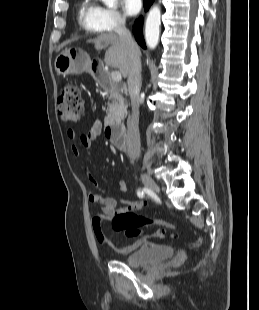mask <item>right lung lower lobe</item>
Listing matches in <instances>:
<instances>
[{"label": "right lung lower lobe", "mask_w": 259, "mask_h": 310, "mask_svg": "<svg viewBox=\"0 0 259 310\" xmlns=\"http://www.w3.org/2000/svg\"><path fill=\"white\" fill-rule=\"evenodd\" d=\"M153 1L154 0H143L144 8L146 11L149 9ZM142 29H143V18L141 16L138 18V20L135 21L133 32H134L136 41L139 43V45L143 47L144 49H146L145 41H144L143 34H142Z\"/></svg>", "instance_id": "right-lung-lower-lobe-1"}]
</instances>
